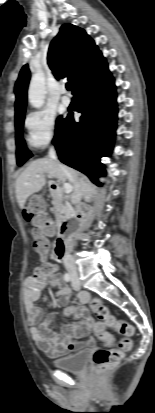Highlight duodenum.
<instances>
[{"label": "duodenum", "instance_id": "410a0bca", "mask_svg": "<svg viewBox=\"0 0 155 413\" xmlns=\"http://www.w3.org/2000/svg\"><path fill=\"white\" fill-rule=\"evenodd\" d=\"M51 190L53 192H57L58 189L56 187H52ZM73 219L75 221H80L82 216L79 211L75 212L73 215ZM72 222L69 219H65L59 226L57 239L55 242V255L59 259H64L67 249H68V237L72 230Z\"/></svg>", "mask_w": 155, "mask_h": 413}]
</instances>
